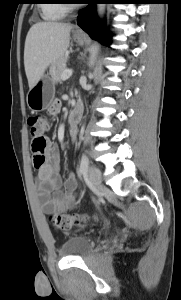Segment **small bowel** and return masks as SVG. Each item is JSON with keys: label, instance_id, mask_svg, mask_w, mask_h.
Wrapping results in <instances>:
<instances>
[{"label": "small bowel", "instance_id": "c3829d8e", "mask_svg": "<svg viewBox=\"0 0 181 300\" xmlns=\"http://www.w3.org/2000/svg\"><path fill=\"white\" fill-rule=\"evenodd\" d=\"M61 101L55 100L49 112L56 114L61 109ZM72 137L77 129L70 128ZM34 167L37 169V193L46 214L66 211L76 204L77 182L72 174L62 181L59 175L60 156L55 145L49 143L42 154L33 153Z\"/></svg>", "mask_w": 181, "mask_h": 300}]
</instances>
